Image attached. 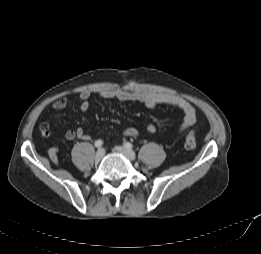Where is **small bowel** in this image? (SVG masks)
Returning <instances> with one entry per match:
<instances>
[{
	"label": "small bowel",
	"mask_w": 261,
	"mask_h": 254,
	"mask_svg": "<svg viewBox=\"0 0 261 254\" xmlns=\"http://www.w3.org/2000/svg\"><path fill=\"white\" fill-rule=\"evenodd\" d=\"M80 111L82 113H87L92 100L91 93L83 91L80 93ZM100 97L103 99H112L122 102H138L144 104L148 108H155L160 105L168 106L174 109L182 111L184 118L180 127V131L184 132L193 126L196 122L197 115L195 108L184 98L177 95L165 93V92H135L126 90H104L100 92ZM69 101L66 98H60L52 103V108L54 110H62L67 107ZM148 133H154L156 131V126L152 123L146 126ZM41 134L45 137L51 136V130L48 123L43 122L40 125ZM48 131V134L45 132ZM139 131L136 128L129 127L123 130L122 135L124 137H136ZM65 138L67 140L81 139L88 141L91 139L90 135L85 132L82 128L70 129L65 132ZM57 148L53 147L49 150V155L53 160H56Z\"/></svg>",
	"instance_id": "small-bowel-1"
}]
</instances>
